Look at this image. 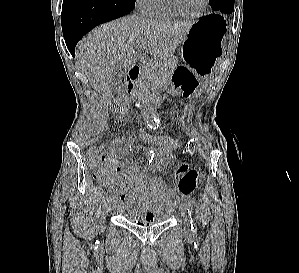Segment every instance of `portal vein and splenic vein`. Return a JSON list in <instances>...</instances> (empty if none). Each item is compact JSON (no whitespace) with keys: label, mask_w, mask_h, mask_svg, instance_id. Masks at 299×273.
Segmentation results:
<instances>
[{"label":"portal vein and splenic vein","mask_w":299,"mask_h":273,"mask_svg":"<svg viewBox=\"0 0 299 273\" xmlns=\"http://www.w3.org/2000/svg\"><path fill=\"white\" fill-rule=\"evenodd\" d=\"M137 47H138V48H141V45L138 43V44H137ZM143 61H144V59H143Z\"/></svg>","instance_id":"portal-vein-and-splenic-vein-1"}]
</instances>
